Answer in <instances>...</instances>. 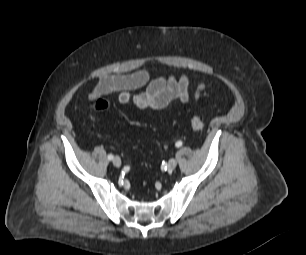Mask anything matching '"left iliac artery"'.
Here are the masks:
<instances>
[{
  "label": "left iliac artery",
  "instance_id": "left-iliac-artery-1",
  "mask_svg": "<svg viewBox=\"0 0 306 255\" xmlns=\"http://www.w3.org/2000/svg\"><path fill=\"white\" fill-rule=\"evenodd\" d=\"M182 144H183L182 141H177L176 144H175V146H176V147H181Z\"/></svg>",
  "mask_w": 306,
  "mask_h": 255
}]
</instances>
